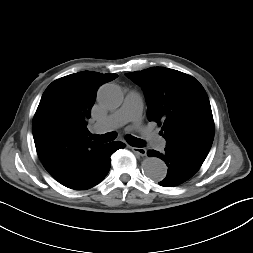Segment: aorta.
Wrapping results in <instances>:
<instances>
[{
  "label": "aorta",
  "instance_id": "aorta-1",
  "mask_svg": "<svg viewBox=\"0 0 253 253\" xmlns=\"http://www.w3.org/2000/svg\"><path fill=\"white\" fill-rule=\"evenodd\" d=\"M97 100L104 109L113 110L122 104L123 94L118 86L105 84L99 89ZM141 167L144 175L155 182L162 181L167 174L165 162L157 157L145 158Z\"/></svg>",
  "mask_w": 253,
  "mask_h": 253
}]
</instances>
